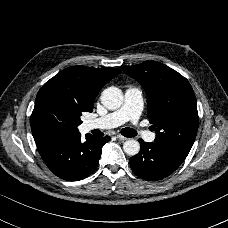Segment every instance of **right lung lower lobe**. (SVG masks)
Returning <instances> with one entry per match:
<instances>
[{
	"label": "right lung lower lobe",
	"mask_w": 228,
	"mask_h": 228,
	"mask_svg": "<svg viewBox=\"0 0 228 228\" xmlns=\"http://www.w3.org/2000/svg\"><path fill=\"white\" fill-rule=\"evenodd\" d=\"M109 140L108 136L97 138L90 135L82 142L78 131L36 144L42 159L55 175L64 180L78 181L95 171L102 146Z\"/></svg>",
	"instance_id": "1"
}]
</instances>
